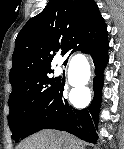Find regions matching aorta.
<instances>
[{
    "instance_id": "aorta-1",
    "label": "aorta",
    "mask_w": 124,
    "mask_h": 149,
    "mask_svg": "<svg viewBox=\"0 0 124 149\" xmlns=\"http://www.w3.org/2000/svg\"><path fill=\"white\" fill-rule=\"evenodd\" d=\"M88 77L89 68L86 61L73 59L68 72L70 83L74 86H78L79 84H84L87 81ZM78 79H80V81Z\"/></svg>"
}]
</instances>
